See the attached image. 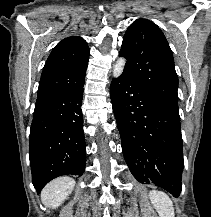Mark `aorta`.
Masks as SVG:
<instances>
[{
    "label": "aorta",
    "mask_w": 211,
    "mask_h": 217,
    "mask_svg": "<svg viewBox=\"0 0 211 217\" xmlns=\"http://www.w3.org/2000/svg\"><path fill=\"white\" fill-rule=\"evenodd\" d=\"M125 64H126V60L123 57L119 58L116 61V63L113 66V76L115 78H118L123 73Z\"/></svg>",
    "instance_id": "1"
}]
</instances>
